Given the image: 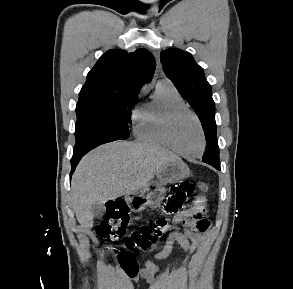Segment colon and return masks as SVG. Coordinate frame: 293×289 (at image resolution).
I'll use <instances>...</instances> for the list:
<instances>
[{
    "label": "colon",
    "instance_id": "5ec220e1",
    "mask_svg": "<svg viewBox=\"0 0 293 289\" xmlns=\"http://www.w3.org/2000/svg\"><path fill=\"white\" fill-rule=\"evenodd\" d=\"M198 188L206 192L208 185L204 182L198 183ZM194 192V185L190 182H181L170 187L169 195L162 209L163 213L168 215L179 211L183 208L187 197ZM199 216H205L206 212L203 208ZM127 220V208L123 202H113L107 211V214L97 226V234L100 238L108 242H116L124 232ZM185 225L200 229L203 226L193 220H186ZM169 230V223L165 217H159L141 225L137 230L132 232L126 239L125 245L128 249L147 250L157 244ZM129 276H134L137 267L133 257L127 252H121L119 255Z\"/></svg>",
    "mask_w": 293,
    "mask_h": 289
}]
</instances>
